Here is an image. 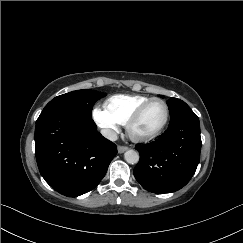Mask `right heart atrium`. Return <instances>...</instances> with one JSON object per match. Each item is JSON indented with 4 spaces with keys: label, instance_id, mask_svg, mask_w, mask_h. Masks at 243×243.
<instances>
[{
    "label": "right heart atrium",
    "instance_id": "d8ad5b80",
    "mask_svg": "<svg viewBox=\"0 0 243 243\" xmlns=\"http://www.w3.org/2000/svg\"><path fill=\"white\" fill-rule=\"evenodd\" d=\"M92 116L98 127L108 136H112L119 128L120 123L105 108L95 107Z\"/></svg>",
    "mask_w": 243,
    "mask_h": 243
}]
</instances>
